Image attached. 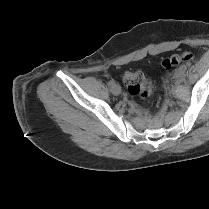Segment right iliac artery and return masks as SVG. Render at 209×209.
<instances>
[{
  "mask_svg": "<svg viewBox=\"0 0 209 209\" xmlns=\"http://www.w3.org/2000/svg\"><path fill=\"white\" fill-rule=\"evenodd\" d=\"M115 84V81L112 79L109 81V86H113Z\"/></svg>",
  "mask_w": 209,
  "mask_h": 209,
  "instance_id": "right-iliac-artery-1",
  "label": "right iliac artery"
}]
</instances>
